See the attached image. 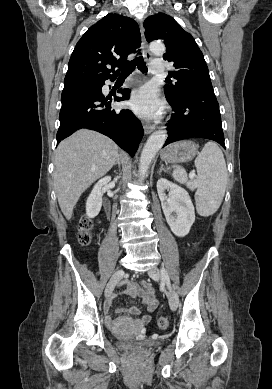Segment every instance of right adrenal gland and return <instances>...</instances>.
<instances>
[{
  "mask_svg": "<svg viewBox=\"0 0 272 389\" xmlns=\"http://www.w3.org/2000/svg\"><path fill=\"white\" fill-rule=\"evenodd\" d=\"M114 165H118L119 169L121 168V156L119 155L117 161Z\"/></svg>",
  "mask_w": 272,
  "mask_h": 389,
  "instance_id": "right-adrenal-gland-1",
  "label": "right adrenal gland"
}]
</instances>
